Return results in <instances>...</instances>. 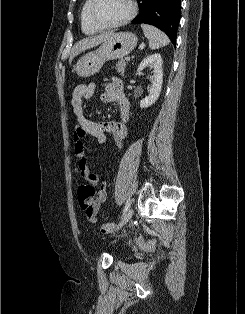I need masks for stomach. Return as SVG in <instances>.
Segmentation results:
<instances>
[{
  "mask_svg": "<svg viewBox=\"0 0 245 314\" xmlns=\"http://www.w3.org/2000/svg\"><path fill=\"white\" fill-rule=\"evenodd\" d=\"M138 38L132 32L113 33L100 47L82 56L75 71L81 77H90L100 71L103 64L128 55L137 45Z\"/></svg>",
  "mask_w": 245,
  "mask_h": 314,
  "instance_id": "stomach-1",
  "label": "stomach"
}]
</instances>
